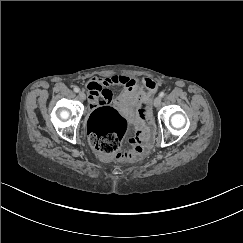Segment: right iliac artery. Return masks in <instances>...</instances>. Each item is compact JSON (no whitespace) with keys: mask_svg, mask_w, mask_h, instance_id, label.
Here are the masks:
<instances>
[{"mask_svg":"<svg viewBox=\"0 0 243 243\" xmlns=\"http://www.w3.org/2000/svg\"><path fill=\"white\" fill-rule=\"evenodd\" d=\"M74 91H75L76 93H78V92L80 91V89H79L78 87H74Z\"/></svg>","mask_w":243,"mask_h":243,"instance_id":"1","label":"right iliac artery"}]
</instances>
